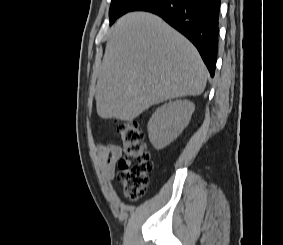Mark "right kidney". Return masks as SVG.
Returning <instances> with one entry per match:
<instances>
[{"label": "right kidney", "instance_id": "1", "mask_svg": "<svg viewBox=\"0 0 283 245\" xmlns=\"http://www.w3.org/2000/svg\"><path fill=\"white\" fill-rule=\"evenodd\" d=\"M195 105L188 100H176L159 107L148 123L149 139L156 149L175 140L188 125Z\"/></svg>", "mask_w": 283, "mask_h": 245}]
</instances>
